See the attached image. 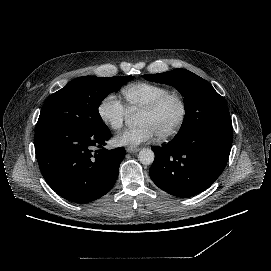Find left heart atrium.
<instances>
[{
  "instance_id": "1",
  "label": "left heart atrium",
  "mask_w": 271,
  "mask_h": 271,
  "mask_svg": "<svg viewBox=\"0 0 271 271\" xmlns=\"http://www.w3.org/2000/svg\"><path fill=\"white\" fill-rule=\"evenodd\" d=\"M155 134L146 125H138L135 129L127 130L115 136L114 142L117 146L135 148L153 140Z\"/></svg>"
}]
</instances>
